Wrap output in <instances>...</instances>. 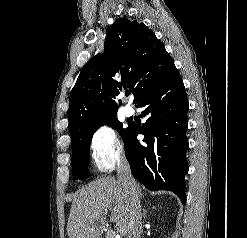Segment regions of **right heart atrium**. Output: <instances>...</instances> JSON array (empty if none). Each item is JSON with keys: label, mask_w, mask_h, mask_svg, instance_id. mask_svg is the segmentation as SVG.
Here are the masks:
<instances>
[{"label": "right heart atrium", "mask_w": 247, "mask_h": 238, "mask_svg": "<svg viewBox=\"0 0 247 238\" xmlns=\"http://www.w3.org/2000/svg\"><path fill=\"white\" fill-rule=\"evenodd\" d=\"M90 156L99 170L106 171L124 157V147L116 130L108 125L99 126L92 134L89 142Z\"/></svg>", "instance_id": "right-heart-atrium-1"}]
</instances>
